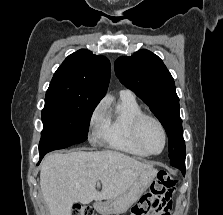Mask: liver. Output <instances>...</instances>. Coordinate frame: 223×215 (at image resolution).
I'll return each instance as SVG.
<instances>
[{"label":"liver","instance_id":"6515ba94","mask_svg":"<svg viewBox=\"0 0 223 215\" xmlns=\"http://www.w3.org/2000/svg\"><path fill=\"white\" fill-rule=\"evenodd\" d=\"M148 167H152L150 161L142 163L110 149L48 153L42 163L40 185L50 215H71L76 201L115 199L125 193ZM96 181H101V191H97Z\"/></svg>","mask_w":223,"mask_h":215}]
</instances>
